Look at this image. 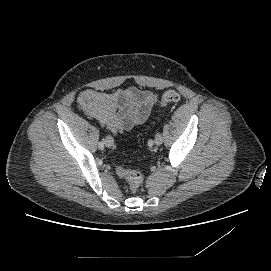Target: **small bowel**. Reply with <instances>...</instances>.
I'll return each instance as SVG.
<instances>
[{"label": "small bowel", "mask_w": 271, "mask_h": 271, "mask_svg": "<svg viewBox=\"0 0 271 271\" xmlns=\"http://www.w3.org/2000/svg\"><path fill=\"white\" fill-rule=\"evenodd\" d=\"M158 100L156 93L135 87L112 92L86 89L77 98L79 109L114 134L143 123Z\"/></svg>", "instance_id": "small-bowel-1"}]
</instances>
